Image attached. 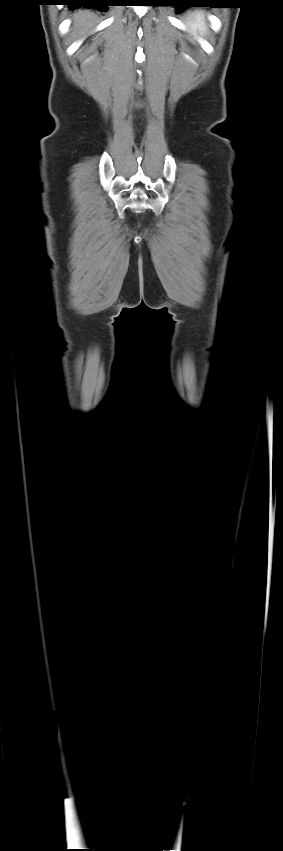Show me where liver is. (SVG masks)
I'll return each instance as SVG.
<instances>
[{"instance_id": "liver-1", "label": "liver", "mask_w": 283, "mask_h": 851, "mask_svg": "<svg viewBox=\"0 0 283 851\" xmlns=\"http://www.w3.org/2000/svg\"><path fill=\"white\" fill-rule=\"evenodd\" d=\"M96 15L89 10H79L73 14L72 40L87 36L95 27Z\"/></svg>"}]
</instances>
